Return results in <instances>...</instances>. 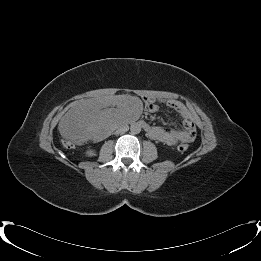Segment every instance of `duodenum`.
Returning a JSON list of instances; mask_svg holds the SVG:
<instances>
[{"label":"duodenum","instance_id":"obj_1","mask_svg":"<svg viewBox=\"0 0 261 261\" xmlns=\"http://www.w3.org/2000/svg\"><path fill=\"white\" fill-rule=\"evenodd\" d=\"M139 124L148 132L150 131V126L146 124L144 121H140Z\"/></svg>","mask_w":261,"mask_h":261}]
</instances>
